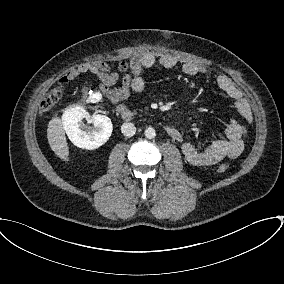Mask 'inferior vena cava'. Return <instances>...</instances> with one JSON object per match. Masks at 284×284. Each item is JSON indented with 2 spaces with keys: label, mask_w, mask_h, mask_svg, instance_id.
I'll use <instances>...</instances> for the list:
<instances>
[{
  "label": "inferior vena cava",
  "mask_w": 284,
  "mask_h": 284,
  "mask_svg": "<svg viewBox=\"0 0 284 284\" xmlns=\"http://www.w3.org/2000/svg\"><path fill=\"white\" fill-rule=\"evenodd\" d=\"M121 131L123 135L127 137H132L136 133V127L133 123H123L121 126Z\"/></svg>",
  "instance_id": "obj_1"
}]
</instances>
